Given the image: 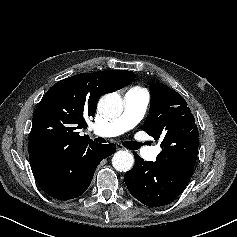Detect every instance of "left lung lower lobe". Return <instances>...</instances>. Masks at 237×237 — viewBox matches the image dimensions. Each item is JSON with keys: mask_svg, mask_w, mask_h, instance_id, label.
<instances>
[{"mask_svg": "<svg viewBox=\"0 0 237 237\" xmlns=\"http://www.w3.org/2000/svg\"><path fill=\"white\" fill-rule=\"evenodd\" d=\"M135 166L125 173L129 192L149 207L173 202L186 188L194 168L172 166L160 160L144 161L134 153Z\"/></svg>", "mask_w": 237, "mask_h": 237, "instance_id": "obj_1", "label": "left lung lower lobe"}]
</instances>
